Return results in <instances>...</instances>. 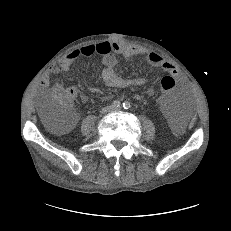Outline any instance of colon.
I'll use <instances>...</instances> for the list:
<instances>
[{
	"label": "colon",
	"mask_w": 231,
	"mask_h": 231,
	"mask_svg": "<svg viewBox=\"0 0 231 231\" xmlns=\"http://www.w3.org/2000/svg\"><path fill=\"white\" fill-rule=\"evenodd\" d=\"M160 90L165 95H170L175 90L176 81L172 75L166 74L160 78ZM75 96L72 88L54 89L43 108V119L46 126L52 131L68 129L75 119L71 104Z\"/></svg>",
	"instance_id": "1"
}]
</instances>
